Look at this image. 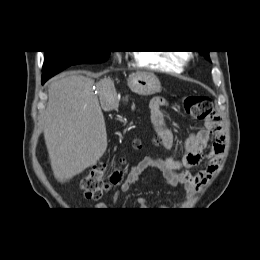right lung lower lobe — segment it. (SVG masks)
I'll return each instance as SVG.
<instances>
[{
	"label": "right lung lower lobe",
	"mask_w": 260,
	"mask_h": 260,
	"mask_svg": "<svg viewBox=\"0 0 260 260\" xmlns=\"http://www.w3.org/2000/svg\"><path fill=\"white\" fill-rule=\"evenodd\" d=\"M48 78L42 77V84L47 80Z\"/></svg>",
	"instance_id": "right-lung-lower-lobe-1"
}]
</instances>
